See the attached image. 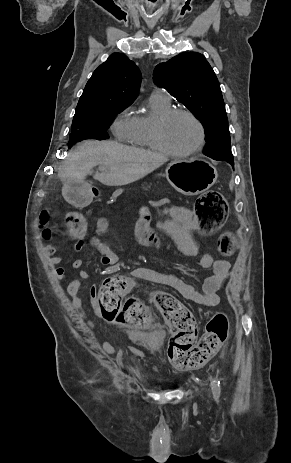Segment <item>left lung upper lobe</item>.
<instances>
[{"instance_id": "obj_1", "label": "left lung upper lobe", "mask_w": 291, "mask_h": 463, "mask_svg": "<svg viewBox=\"0 0 291 463\" xmlns=\"http://www.w3.org/2000/svg\"><path fill=\"white\" fill-rule=\"evenodd\" d=\"M153 80L201 121L206 131V156L214 160L233 159L220 84L204 55L183 52L160 63L154 70Z\"/></svg>"}]
</instances>
